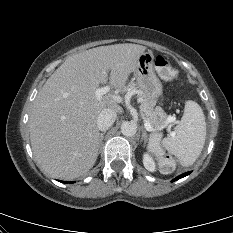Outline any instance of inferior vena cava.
Masks as SVG:
<instances>
[{
  "mask_svg": "<svg viewBox=\"0 0 233 233\" xmlns=\"http://www.w3.org/2000/svg\"><path fill=\"white\" fill-rule=\"evenodd\" d=\"M117 114L111 109H104L97 118V127L100 131L108 130L115 122Z\"/></svg>",
  "mask_w": 233,
  "mask_h": 233,
  "instance_id": "inferior-vena-cava-1",
  "label": "inferior vena cava"
}]
</instances>
